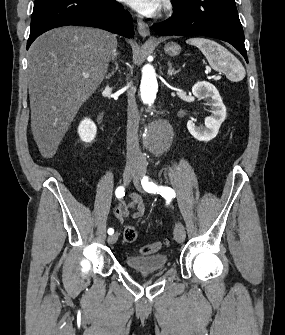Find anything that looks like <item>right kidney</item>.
<instances>
[{
	"label": "right kidney",
	"instance_id": "right-kidney-1",
	"mask_svg": "<svg viewBox=\"0 0 285 335\" xmlns=\"http://www.w3.org/2000/svg\"><path fill=\"white\" fill-rule=\"evenodd\" d=\"M78 134L82 142H92L97 134L96 124L89 118H85L78 126Z\"/></svg>",
	"mask_w": 285,
	"mask_h": 335
}]
</instances>
